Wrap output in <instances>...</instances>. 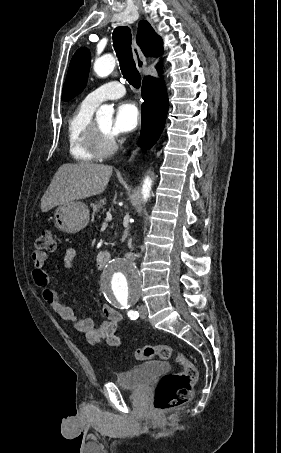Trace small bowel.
I'll return each mask as SVG.
<instances>
[{"label":"small bowel","mask_w":281,"mask_h":453,"mask_svg":"<svg viewBox=\"0 0 281 453\" xmlns=\"http://www.w3.org/2000/svg\"><path fill=\"white\" fill-rule=\"evenodd\" d=\"M32 271L31 279L42 292L45 302L61 318L73 323L76 330L83 333L87 341L91 344H106L110 347H120L122 342L116 335V329L122 321V315L109 305H105L103 311L107 317L106 320L95 322L92 319H81L77 317L73 310L64 305L56 292L49 289V275L46 271L47 255L43 251H35L31 255ZM65 265L71 268L74 263L73 251H68L64 257Z\"/></svg>","instance_id":"c3829d8e"}]
</instances>
